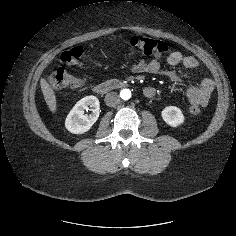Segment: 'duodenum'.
<instances>
[{
	"label": "duodenum",
	"mask_w": 236,
	"mask_h": 236,
	"mask_svg": "<svg viewBox=\"0 0 236 236\" xmlns=\"http://www.w3.org/2000/svg\"><path fill=\"white\" fill-rule=\"evenodd\" d=\"M127 84L120 80H106L99 82L93 86V90L97 94H107L113 90L121 89L126 87Z\"/></svg>",
	"instance_id": "1"
}]
</instances>
